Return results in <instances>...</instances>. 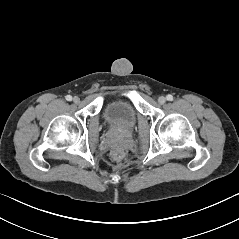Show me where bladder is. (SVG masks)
<instances>
[{"label":"bladder","mask_w":239,"mask_h":239,"mask_svg":"<svg viewBox=\"0 0 239 239\" xmlns=\"http://www.w3.org/2000/svg\"><path fill=\"white\" fill-rule=\"evenodd\" d=\"M103 117L112 129L128 132L132 130L136 124L137 113L129 101L113 100L105 105Z\"/></svg>","instance_id":"31cf9c89"}]
</instances>
